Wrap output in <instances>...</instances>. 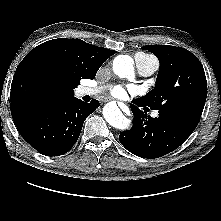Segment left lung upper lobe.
Segmentation results:
<instances>
[{
  "mask_svg": "<svg viewBox=\"0 0 221 221\" xmlns=\"http://www.w3.org/2000/svg\"><path fill=\"white\" fill-rule=\"evenodd\" d=\"M142 49L156 55L160 68L156 87L138 102L198 124L207 97V81L198 58L184 48L169 45H146Z\"/></svg>",
  "mask_w": 221,
  "mask_h": 221,
  "instance_id": "5c2ea615",
  "label": "left lung upper lobe"
}]
</instances>
